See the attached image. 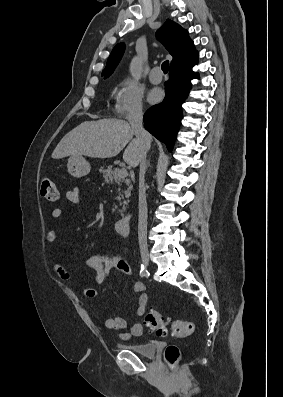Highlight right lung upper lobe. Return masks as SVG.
Returning <instances> with one entry per match:
<instances>
[{"label": "right lung upper lobe", "instance_id": "1", "mask_svg": "<svg viewBox=\"0 0 283 397\" xmlns=\"http://www.w3.org/2000/svg\"><path fill=\"white\" fill-rule=\"evenodd\" d=\"M156 35L173 57L170 68L198 57V53L195 50L193 41L188 36V32L174 21L167 19ZM124 48V44L122 43L114 47L107 60V65L102 72V76L106 78L114 71L123 55Z\"/></svg>", "mask_w": 283, "mask_h": 397}]
</instances>
